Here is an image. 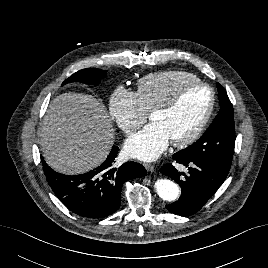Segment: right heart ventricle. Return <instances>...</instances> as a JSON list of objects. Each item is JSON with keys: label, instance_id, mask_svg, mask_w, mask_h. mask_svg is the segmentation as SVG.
<instances>
[{"label": "right heart ventricle", "instance_id": "e07e8e85", "mask_svg": "<svg viewBox=\"0 0 268 268\" xmlns=\"http://www.w3.org/2000/svg\"><path fill=\"white\" fill-rule=\"evenodd\" d=\"M199 81V78L184 70H163L150 73L137 82V93L146 110L163 104L182 84Z\"/></svg>", "mask_w": 268, "mask_h": 268}]
</instances>
